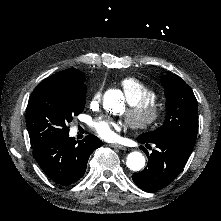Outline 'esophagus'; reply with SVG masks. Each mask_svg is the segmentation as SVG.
<instances>
[{
    "label": "esophagus",
    "instance_id": "esophagus-1",
    "mask_svg": "<svg viewBox=\"0 0 221 221\" xmlns=\"http://www.w3.org/2000/svg\"><path fill=\"white\" fill-rule=\"evenodd\" d=\"M110 147H114V148H118V149H122L124 150L125 147L123 145H120V144H116V143H113V144H109Z\"/></svg>",
    "mask_w": 221,
    "mask_h": 221
}]
</instances>
